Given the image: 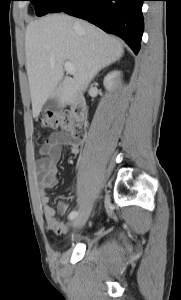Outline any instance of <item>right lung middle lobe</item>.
Masks as SVG:
<instances>
[{
  "label": "right lung middle lobe",
  "mask_w": 181,
  "mask_h": 300,
  "mask_svg": "<svg viewBox=\"0 0 181 300\" xmlns=\"http://www.w3.org/2000/svg\"><path fill=\"white\" fill-rule=\"evenodd\" d=\"M31 1L38 16H43L47 13H53L63 0H28Z\"/></svg>",
  "instance_id": "obj_1"
}]
</instances>
